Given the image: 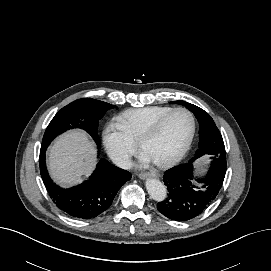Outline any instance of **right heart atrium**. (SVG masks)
I'll return each instance as SVG.
<instances>
[{"instance_id": "obj_1", "label": "right heart atrium", "mask_w": 271, "mask_h": 271, "mask_svg": "<svg viewBox=\"0 0 271 271\" xmlns=\"http://www.w3.org/2000/svg\"><path fill=\"white\" fill-rule=\"evenodd\" d=\"M102 140L110 158L120 166H128L137 153L136 143L118 124H107L103 129Z\"/></svg>"}]
</instances>
